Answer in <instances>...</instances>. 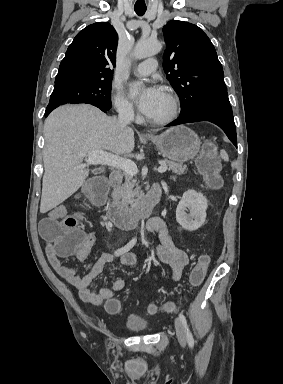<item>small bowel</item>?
Here are the masks:
<instances>
[{
    "label": "small bowel",
    "instance_id": "obj_1",
    "mask_svg": "<svg viewBox=\"0 0 283 384\" xmlns=\"http://www.w3.org/2000/svg\"><path fill=\"white\" fill-rule=\"evenodd\" d=\"M66 215V208L60 205L55 207L46 219H62ZM146 230L149 233L156 232L158 234L160 244L155 248L156 257L171 267L172 279L178 280L188 264V255L174 243L167 224L162 218L153 217L149 219L146 224ZM93 241L94 233H90L87 242L77 251L76 256L80 261H84L87 258ZM46 255L54 270L69 282L78 291L80 298L88 304L100 305L107 300L113 299L126 285L124 279H117L110 287L101 288L98 291H92L89 288L91 282L112 262L113 255L110 253L101 254L93 264L90 272L84 276L78 275L76 269L70 268L61 262V256L56 252L53 242L48 239H46ZM120 260L124 265H135L138 258L133 253H126L120 257Z\"/></svg>",
    "mask_w": 283,
    "mask_h": 384
}]
</instances>
